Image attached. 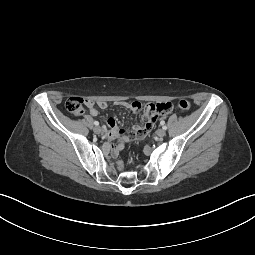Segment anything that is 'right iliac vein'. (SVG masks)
<instances>
[{"label": "right iliac vein", "mask_w": 255, "mask_h": 255, "mask_svg": "<svg viewBox=\"0 0 255 255\" xmlns=\"http://www.w3.org/2000/svg\"><path fill=\"white\" fill-rule=\"evenodd\" d=\"M93 130H94V132H95L96 134H100L101 131H102L101 127H99V126L94 127Z\"/></svg>", "instance_id": "1"}]
</instances>
